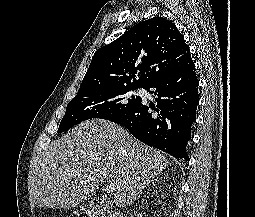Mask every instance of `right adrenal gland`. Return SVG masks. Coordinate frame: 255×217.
<instances>
[{
	"label": "right adrenal gland",
	"instance_id": "obj_1",
	"mask_svg": "<svg viewBox=\"0 0 255 217\" xmlns=\"http://www.w3.org/2000/svg\"><path fill=\"white\" fill-rule=\"evenodd\" d=\"M154 181H157V179H152L151 181H149L146 186L144 188H146L147 186H149L151 183H153ZM139 195V193L136 195V197L133 199L132 203L134 202V200L137 199V196Z\"/></svg>",
	"mask_w": 255,
	"mask_h": 217
}]
</instances>
